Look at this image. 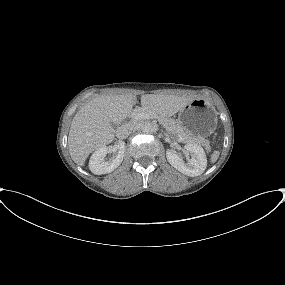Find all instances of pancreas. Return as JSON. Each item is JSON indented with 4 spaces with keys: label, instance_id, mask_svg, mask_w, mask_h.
I'll list each match as a JSON object with an SVG mask.
<instances>
[{
    "label": "pancreas",
    "instance_id": "1",
    "mask_svg": "<svg viewBox=\"0 0 285 285\" xmlns=\"http://www.w3.org/2000/svg\"><path fill=\"white\" fill-rule=\"evenodd\" d=\"M148 113H153V112L148 111ZM158 120L166 128L169 134L171 135L178 134L179 136L182 137V141L201 144L205 146L208 151L211 149L208 140L204 138L196 139V138L188 136L175 120L165 118L163 116H159Z\"/></svg>",
    "mask_w": 285,
    "mask_h": 285
}]
</instances>
